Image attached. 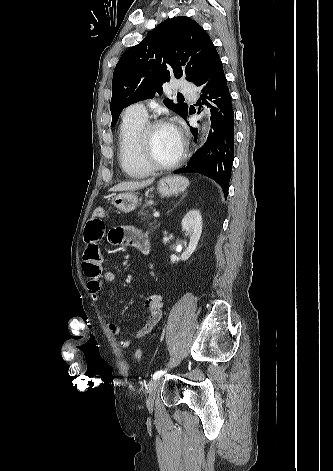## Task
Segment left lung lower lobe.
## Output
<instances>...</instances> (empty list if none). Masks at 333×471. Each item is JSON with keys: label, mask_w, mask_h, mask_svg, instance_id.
Returning <instances> with one entry per match:
<instances>
[{"label": "left lung lower lobe", "mask_w": 333, "mask_h": 471, "mask_svg": "<svg viewBox=\"0 0 333 471\" xmlns=\"http://www.w3.org/2000/svg\"><path fill=\"white\" fill-rule=\"evenodd\" d=\"M195 85L202 87L200 100L211 108L212 130L206 143L195 153L188 165L174 173H201L210 176L222 186L227 198L234 160L235 124L232 100L217 51ZM206 99L210 100L211 104ZM190 128L196 139L197 129Z\"/></svg>", "instance_id": "left-lung-lower-lobe-1"}]
</instances>
